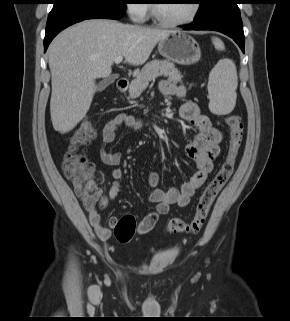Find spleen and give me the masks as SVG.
<instances>
[{"label": "spleen", "instance_id": "3e777b00", "mask_svg": "<svg viewBox=\"0 0 290 321\" xmlns=\"http://www.w3.org/2000/svg\"><path fill=\"white\" fill-rule=\"evenodd\" d=\"M217 50H224V43L214 37L212 39ZM238 86L237 70L230 59L220 60L209 74L208 93L209 109L217 115L229 114L236 104Z\"/></svg>", "mask_w": 290, "mask_h": 321}]
</instances>
